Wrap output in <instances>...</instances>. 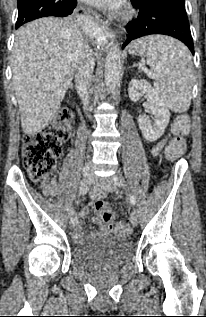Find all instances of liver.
<instances>
[{"instance_id": "obj_1", "label": "liver", "mask_w": 206, "mask_h": 317, "mask_svg": "<svg viewBox=\"0 0 206 317\" xmlns=\"http://www.w3.org/2000/svg\"><path fill=\"white\" fill-rule=\"evenodd\" d=\"M82 39L69 19L53 17L17 31L11 68L25 134L42 131L57 115L76 71L75 53Z\"/></svg>"}]
</instances>
